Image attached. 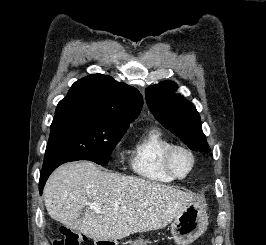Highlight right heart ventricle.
Segmentation results:
<instances>
[{
  "label": "right heart ventricle",
  "instance_id": "obj_1",
  "mask_svg": "<svg viewBox=\"0 0 266 245\" xmlns=\"http://www.w3.org/2000/svg\"><path fill=\"white\" fill-rule=\"evenodd\" d=\"M174 144L159 127L147 128L135 141L131 149L130 167L145 181L156 185H169L176 180L166 171L163 155Z\"/></svg>",
  "mask_w": 266,
  "mask_h": 245
}]
</instances>
